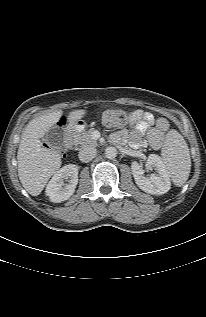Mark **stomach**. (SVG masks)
<instances>
[{"instance_id":"1","label":"stomach","mask_w":206,"mask_h":317,"mask_svg":"<svg viewBox=\"0 0 206 317\" xmlns=\"http://www.w3.org/2000/svg\"><path fill=\"white\" fill-rule=\"evenodd\" d=\"M80 123H81V126H83V125H84V123H83L82 121H80Z\"/></svg>"}]
</instances>
